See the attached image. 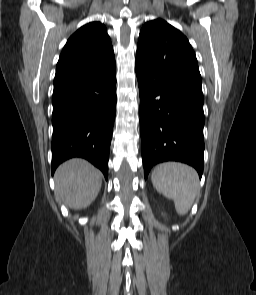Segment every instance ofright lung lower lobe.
Listing matches in <instances>:
<instances>
[{"label":"right lung lower lobe","mask_w":256,"mask_h":295,"mask_svg":"<svg viewBox=\"0 0 256 295\" xmlns=\"http://www.w3.org/2000/svg\"><path fill=\"white\" fill-rule=\"evenodd\" d=\"M52 174L63 161L82 157L107 179L116 111V65L54 83Z\"/></svg>","instance_id":"98d812e1"}]
</instances>
